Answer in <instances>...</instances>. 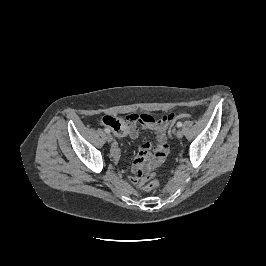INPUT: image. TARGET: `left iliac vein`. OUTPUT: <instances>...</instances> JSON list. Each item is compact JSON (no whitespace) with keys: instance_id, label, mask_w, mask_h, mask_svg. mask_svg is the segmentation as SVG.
<instances>
[{"instance_id":"left-iliac-vein-1","label":"left iliac vein","mask_w":266,"mask_h":266,"mask_svg":"<svg viewBox=\"0 0 266 266\" xmlns=\"http://www.w3.org/2000/svg\"><path fill=\"white\" fill-rule=\"evenodd\" d=\"M176 137L179 139L183 137V132L180 129L176 131Z\"/></svg>"}]
</instances>
